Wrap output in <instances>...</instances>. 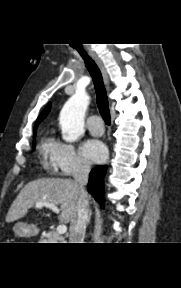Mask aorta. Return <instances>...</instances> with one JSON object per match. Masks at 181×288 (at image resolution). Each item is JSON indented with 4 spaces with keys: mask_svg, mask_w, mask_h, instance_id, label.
<instances>
[{
    "mask_svg": "<svg viewBox=\"0 0 181 288\" xmlns=\"http://www.w3.org/2000/svg\"><path fill=\"white\" fill-rule=\"evenodd\" d=\"M89 100L85 92L77 91L65 103L59 118L64 141L74 142L84 133V117Z\"/></svg>",
    "mask_w": 181,
    "mask_h": 288,
    "instance_id": "1",
    "label": "aorta"
}]
</instances>
